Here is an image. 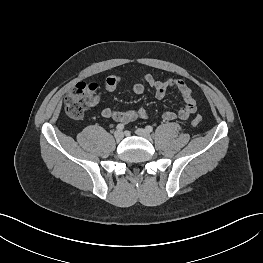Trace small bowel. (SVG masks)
I'll list each match as a JSON object with an SVG mask.
<instances>
[{"instance_id":"1","label":"small bowel","mask_w":263,"mask_h":263,"mask_svg":"<svg viewBox=\"0 0 263 263\" xmlns=\"http://www.w3.org/2000/svg\"><path fill=\"white\" fill-rule=\"evenodd\" d=\"M121 82V78L119 75L111 74L108 75L104 81V90L107 93L113 92L119 83ZM145 85H149L154 88L155 96L158 99H162L166 96L167 91L170 88H175L181 94L184 100V106L181 107L176 112L166 111L162 114V119L164 121H172L175 119L186 120L191 115L196 113L198 106L196 100L192 94L191 89L188 85L181 79L176 78H168L165 80H157L152 75H145L141 81L136 82L133 85V93L136 95H140L145 91ZM101 98L100 94H96L93 98L92 105H96L99 103ZM101 115L105 118H111L116 122H120L121 124H127L133 122L137 119L146 120L149 118V113L146 109L140 108L138 110L129 109L126 111H117L111 108H103L101 110Z\"/></svg>"}]
</instances>
